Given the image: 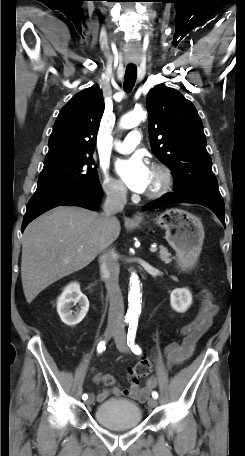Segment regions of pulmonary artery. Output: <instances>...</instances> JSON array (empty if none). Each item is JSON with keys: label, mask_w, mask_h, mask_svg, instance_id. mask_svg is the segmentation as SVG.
I'll return each instance as SVG.
<instances>
[{"label": "pulmonary artery", "mask_w": 245, "mask_h": 456, "mask_svg": "<svg viewBox=\"0 0 245 456\" xmlns=\"http://www.w3.org/2000/svg\"><path fill=\"white\" fill-rule=\"evenodd\" d=\"M140 140V132L137 130H133L127 135V137L124 140L115 141L113 147L118 152L129 153L135 149V147L140 143Z\"/></svg>", "instance_id": "e3ab8cb5"}]
</instances>
